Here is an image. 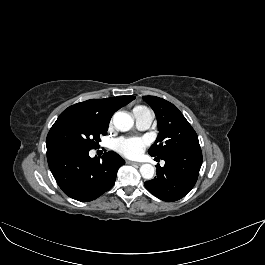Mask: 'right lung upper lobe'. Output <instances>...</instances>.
I'll use <instances>...</instances> for the list:
<instances>
[{"label": "right lung upper lobe", "mask_w": 265, "mask_h": 265, "mask_svg": "<svg viewBox=\"0 0 265 265\" xmlns=\"http://www.w3.org/2000/svg\"><path fill=\"white\" fill-rule=\"evenodd\" d=\"M135 99V96H118L105 99H91L68 107L63 113L77 112L92 115L109 123L112 115Z\"/></svg>", "instance_id": "cb5924a9"}]
</instances>
